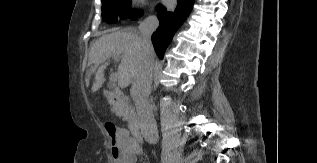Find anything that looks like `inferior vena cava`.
Returning a JSON list of instances; mask_svg holds the SVG:
<instances>
[{"instance_id": "inferior-vena-cava-1", "label": "inferior vena cava", "mask_w": 317, "mask_h": 163, "mask_svg": "<svg viewBox=\"0 0 317 163\" xmlns=\"http://www.w3.org/2000/svg\"><path fill=\"white\" fill-rule=\"evenodd\" d=\"M159 21L156 16H149L139 25L142 45V63L132 83V98L135 102L139 127L144 139L155 144L158 141V130L152 107L149 103L153 72V46L151 35L157 29Z\"/></svg>"}]
</instances>
